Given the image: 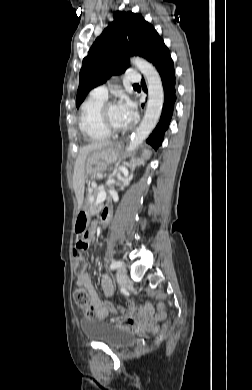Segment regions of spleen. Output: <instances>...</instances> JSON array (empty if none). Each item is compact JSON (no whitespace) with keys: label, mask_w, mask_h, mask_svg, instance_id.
<instances>
[{"label":"spleen","mask_w":252,"mask_h":390,"mask_svg":"<svg viewBox=\"0 0 252 390\" xmlns=\"http://www.w3.org/2000/svg\"><path fill=\"white\" fill-rule=\"evenodd\" d=\"M143 156H145L146 158H148V157L150 156V152H149L148 150H144Z\"/></svg>","instance_id":"spleen-1"}]
</instances>
